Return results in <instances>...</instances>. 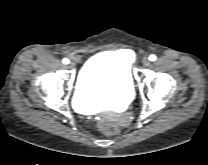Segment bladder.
<instances>
[{
  "label": "bladder",
  "mask_w": 208,
  "mask_h": 165,
  "mask_svg": "<svg viewBox=\"0 0 208 165\" xmlns=\"http://www.w3.org/2000/svg\"><path fill=\"white\" fill-rule=\"evenodd\" d=\"M134 92L130 65L121 51H106L90 57L83 65L75 87L80 104L125 106Z\"/></svg>",
  "instance_id": "1"
}]
</instances>
